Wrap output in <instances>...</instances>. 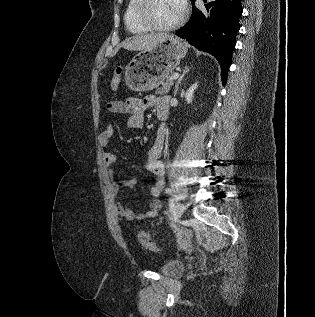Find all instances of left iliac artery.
<instances>
[{
  "instance_id": "1",
  "label": "left iliac artery",
  "mask_w": 315,
  "mask_h": 317,
  "mask_svg": "<svg viewBox=\"0 0 315 317\" xmlns=\"http://www.w3.org/2000/svg\"><path fill=\"white\" fill-rule=\"evenodd\" d=\"M165 192L166 193H168V194H171L172 193V190H171V188H167L166 190H165ZM174 199L172 198L171 200H170V204H171V206H174Z\"/></svg>"
}]
</instances>
